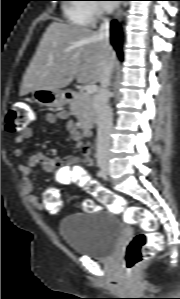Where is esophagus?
I'll use <instances>...</instances> for the list:
<instances>
[{
    "mask_svg": "<svg viewBox=\"0 0 180 299\" xmlns=\"http://www.w3.org/2000/svg\"><path fill=\"white\" fill-rule=\"evenodd\" d=\"M123 11H124V6L121 5V6L118 8V10H117V12H116V14H115V19H116V20H120V19H121L122 15H123Z\"/></svg>",
    "mask_w": 180,
    "mask_h": 299,
    "instance_id": "obj_1",
    "label": "esophagus"
}]
</instances>
